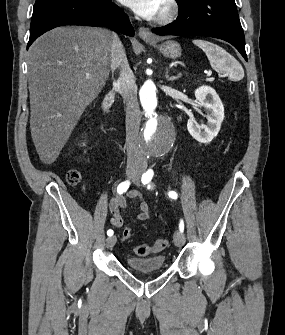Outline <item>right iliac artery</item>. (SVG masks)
<instances>
[{"instance_id": "obj_1", "label": "right iliac artery", "mask_w": 285, "mask_h": 335, "mask_svg": "<svg viewBox=\"0 0 285 335\" xmlns=\"http://www.w3.org/2000/svg\"><path fill=\"white\" fill-rule=\"evenodd\" d=\"M129 185H130V182H129V181H125V182L120 183V184L118 185V187H117V192H118L119 194H123L124 192L127 191V189L129 188ZM113 233H114V232H113V230H111V229H109V230L107 231V235H108V236H112Z\"/></svg>"}]
</instances>
